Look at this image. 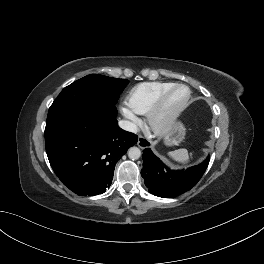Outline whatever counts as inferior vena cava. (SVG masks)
I'll list each match as a JSON object with an SVG mask.
<instances>
[{
  "mask_svg": "<svg viewBox=\"0 0 264 264\" xmlns=\"http://www.w3.org/2000/svg\"><path fill=\"white\" fill-rule=\"evenodd\" d=\"M120 128H122L123 130L129 131V132H133V133H137L138 131V127L135 123L130 122L128 120H120L118 122Z\"/></svg>",
  "mask_w": 264,
  "mask_h": 264,
  "instance_id": "1",
  "label": "inferior vena cava"
}]
</instances>
